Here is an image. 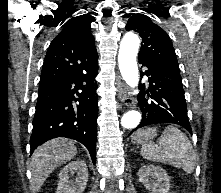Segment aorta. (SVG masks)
I'll list each match as a JSON object with an SVG mask.
<instances>
[{
  "instance_id": "1",
  "label": "aorta",
  "mask_w": 221,
  "mask_h": 193,
  "mask_svg": "<svg viewBox=\"0 0 221 193\" xmlns=\"http://www.w3.org/2000/svg\"><path fill=\"white\" fill-rule=\"evenodd\" d=\"M139 46V37L129 32L123 37L119 47V69L125 82L132 88L137 87L139 82V72L136 62ZM140 121L141 114L138 111L131 110L122 116L121 125L126 129H133L138 126Z\"/></svg>"
}]
</instances>
